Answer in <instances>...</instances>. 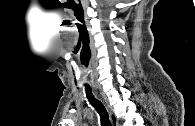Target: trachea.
Here are the masks:
<instances>
[{"instance_id": "1", "label": "trachea", "mask_w": 195, "mask_h": 126, "mask_svg": "<svg viewBox=\"0 0 195 126\" xmlns=\"http://www.w3.org/2000/svg\"><path fill=\"white\" fill-rule=\"evenodd\" d=\"M86 96H87V99L89 100L90 104L96 109V111L100 115L101 125L102 126H111L110 120L108 118V113H107L105 107L98 100H96L94 98V96L91 92V88L88 86H86Z\"/></svg>"}]
</instances>
